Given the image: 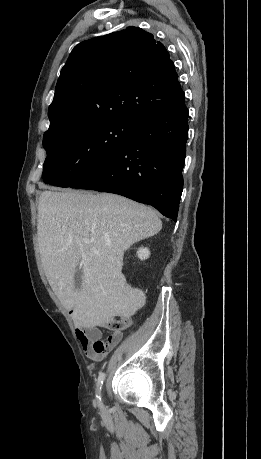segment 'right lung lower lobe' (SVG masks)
Wrapping results in <instances>:
<instances>
[{"label":"right lung lower lobe","mask_w":261,"mask_h":459,"mask_svg":"<svg viewBox=\"0 0 261 459\" xmlns=\"http://www.w3.org/2000/svg\"><path fill=\"white\" fill-rule=\"evenodd\" d=\"M188 109L184 96L141 122L126 145L71 188L115 193L177 220L183 190Z\"/></svg>","instance_id":"right-lung-lower-lobe-1"}]
</instances>
